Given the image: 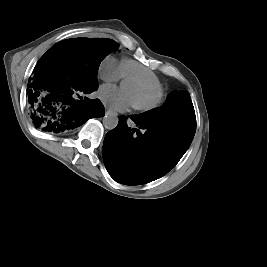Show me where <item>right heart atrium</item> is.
I'll return each instance as SVG.
<instances>
[{"label": "right heart atrium", "mask_w": 267, "mask_h": 267, "mask_svg": "<svg viewBox=\"0 0 267 267\" xmlns=\"http://www.w3.org/2000/svg\"><path fill=\"white\" fill-rule=\"evenodd\" d=\"M99 76L107 82L118 81L121 77V66L113 57H106L99 68Z\"/></svg>", "instance_id": "right-heart-atrium-1"}]
</instances>
